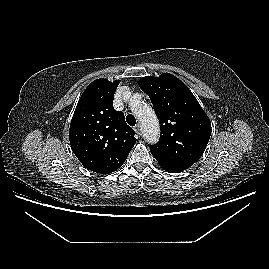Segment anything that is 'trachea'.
<instances>
[{
    "label": "trachea",
    "mask_w": 269,
    "mask_h": 269,
    "mask_svg": "<svg viewBox=\"0 0 269 269\" xmlns=\"http://www.w3.org/2000/svg\"><path fill=\"white\" fill-rule=\"evenodd\" d=\"M126 121L130 126H135V124H136V119H135L134 115H132V114H129L126 116Z\"/></svg>",
    "instance_id": "1"
}]
</instances>
